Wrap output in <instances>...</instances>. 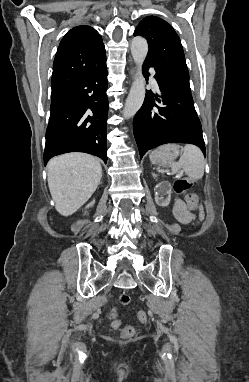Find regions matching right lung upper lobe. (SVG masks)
Wrapping results in <instances>:
<instances>
[{
  "mask_svg": "<svg viewBox=\"0 0 249 382\" xmlns=\"http://www.w3.org/2000/svg\"><path fill=\"white\" fill-rule=\"evenodd\" d=\"M100 34L90 26H77L61 40L53 64L52 99L85 77L105 56Z\"/></svg>",
  "mask_w": 249,
  "mask_h": 382,
  "instance_id": "right-lung-upper-lobe-1",
  "label": "right lung upper lobe"
}]
</instances>
